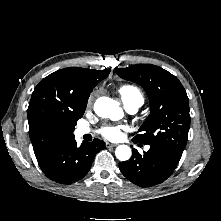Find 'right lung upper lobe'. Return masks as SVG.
I'll list each match as a JSON object with an SVG mask.
<instances>
[{
    "instance_id": "obj_1",
    "label": "right lung upper lobe",
    "mask_w": 221,
    "mask_h": 221,
    "mask_svg": "<svg viewBox=\"0 0 221 221\" xmlns=\"http://www.w3.org/2000/svg\"><path fill=\"white\" fill-rule=\"evenodd\" d=\"M110 71L68 67L48 75L35 87L27 116L37 160L74 137L72 132L85 112L90 93Z\"/></svg>"
}]
</instances>
